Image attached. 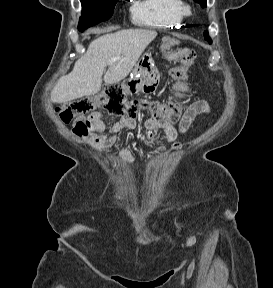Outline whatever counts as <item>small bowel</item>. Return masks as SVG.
I'll use <instances>...</instances> for the list:
<instances>
[{
	"label": "small bowel",
	"mask_w": 273,
	"mask_h": 288,
	"mask_svg": "<svg viewBox=\"0 0 273 288\" xmlns=\"http://www.w3.org/2000/svg\"><path fill=\"white\" fill-rule=\"evenodd\" d=\"M140 113L141 110H138L132 116L128 115L121 117L108 131H106L104 122L98 117H95L93 127L85 138L89 144L98 150L109 148L114 145L118 133L124 130L130 131L135 129L136 119L139 117ZM209 113L210 106L208 102L203 99H198L186 108L178 124V128L171 122L150 117L145 121L149 140L154 141L159 133H163L167 140L174 143V147H178V143H176L178 133H186L197 116ZM123 155L126 160L131 159V154L128 151L125 150Z\"/></svg>",
	"instance_id": "c3829d8e"
}]
</instances>
